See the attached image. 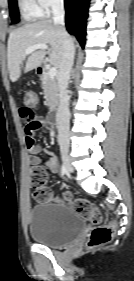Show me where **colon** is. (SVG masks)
I'll list each match as a JSON object with an SVG mask.
<instances>
[{
	"mask_svg": "<svg viewBox=\"0 0 134 281\" xmlns=\"http://www.w3.org/2000/svg\"><path fill=\"white\" fill-rule=\"evenodd\" d=\"M37 104V94L33 91L27 92L24 97V105L34 108ZM29 182L34 190V197L38 202H48L55 199L52 191L47 186V174L42 167L32 168ZM62 202L70 205L77 213L96 225L88 239L89 247H99L111 241L115 231V224L113 222L103 223L102 213L94 204L86 199L72 198L69 195L64 196Z\"/></svg>",
	"mask_w": 134,
	"mask_h": 281,
	"instance_id": "colon-1",
	"label": "colon"
}]
</instances>
